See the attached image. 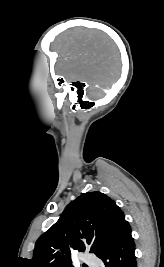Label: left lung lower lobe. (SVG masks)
Here are the masks:
<instances>
[{
  "label": "left lung lower lobe",
  "mask_w": 164,
  "mask_h": 267,
  "mask_svg": "<svg viewBox=\"0 0 164 267\" xmlns=\"http://www.w3.org/2000/svg\"><path fill=\"white\" fill-rule=\"evenodd\" d=\"M134 251L131 228L125 222L97 257L102 259L105 267H137Z\"/></svg>",
  "instance_id": "obj_1"
}]
</instances>
